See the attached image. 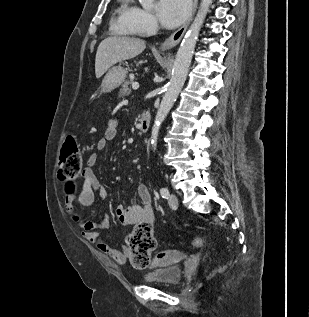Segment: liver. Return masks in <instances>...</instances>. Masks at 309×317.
<instances>
[{"label":"liver","instance_id":"1","mask_svg":"<svg viewBox=\"0 0 309 317\" xmlns=\"http://www.w3.org/2000/svg\"><path fill=\"white\" fill-rule=\"evenodd\" d=\"M146 48L145 41L133 37H108L98 46L95 59V75L100 78L118 62L136 57Z\"/></svg>","mask_w":309,"mask_h":317}]
</instances>
